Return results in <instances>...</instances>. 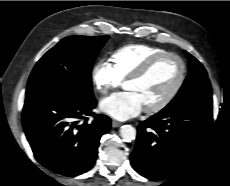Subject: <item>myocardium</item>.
Returning <instances> with one entry per match:
<instances>
[{"instance_id": "f54148a6", "label": "myocardium", "mask_w": 230, "mask_h": 186, "mask_svg": "<svg viewBox=\"0 0 230 186\" xmlns=\"http://www.w3.org/2000/svg\"><path fill=\"white\" fill-rule=\"evenodd\" d=\"M165 58H174L177 60L180 64V74L179 78L172 87V89L169 91V93L157 104L144 108V111L149 114L158 113L165 109L177 96V94L180 92L181 88L183 87L186 76H187V65L185 61L176 53L173 52H163L158 55H155L148 59L139 69H137L132 75H130L126 81H138L142 78H144L160 61H162Z\"/></svg>"}]
</instances>
